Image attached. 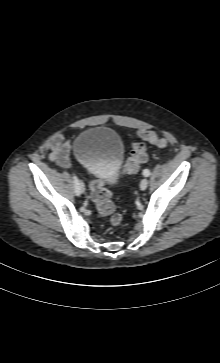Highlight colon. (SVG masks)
<instances>
[{
    "label": "colon",
    "instance_id": "1",
    "mask_svg": "<svg viewBox=\"0 0 220 363\" xmlns=\"http://www.w3.org/2000/svg\"><path fill=\"white\" fill-rule=\"evenodd\" d=\"M138 138L140 141L132 144L130 157L123 168L124 173L137 172L140 165L147 160V146L144 142H149L159 147H165L170 144L167 138L160 137L155 132L149 130L139 131ZM90 190L97 212L103 217H108L113 227L123 228V218L116 212L114 204L111 201L110 192L103 182L98 179H92L90 181Z\"/></svg>",
    "mask_w": 220,
    "mask_h": 363
}]
</instances>
